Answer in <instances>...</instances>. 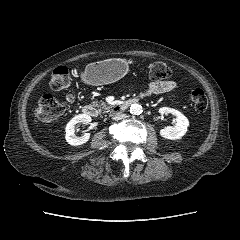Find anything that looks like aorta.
<instances>
[{"label": "aorta", "instance_id": "aorta-1", "mask_svg": "<svg viewBox=\"0 0 240 240\" xmlns=\"http://www.w3.org/2000/svg\"><path fill=\"white\" fill-rule=\"evenodd\" d=\"M142 106L140 104H132L130 107V113L132 115H140L142 113Z\"/></svg>", "mask_w": 240, "mask_h": 240}]
</instances>
